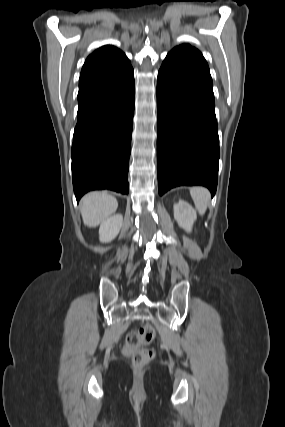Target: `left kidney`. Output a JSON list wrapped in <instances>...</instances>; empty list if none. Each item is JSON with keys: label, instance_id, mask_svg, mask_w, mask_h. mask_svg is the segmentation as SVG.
<instances>
[{"label": "left kidney", "instance_id": "obj_1", "mask_svg": "<svg viewBox=\"0 0 285 427\" xmlns=\"http://www.w3.org/2000/svg\"><path fill=\"white\" fill-rule=\"evenodd\" d=\"M174 218L181 228L186 232H191L197 214L189 203L179 200L178 203L174 204Z\"/></svg>", "mask_w": 285, "mask_h": 427}]
</instances>
